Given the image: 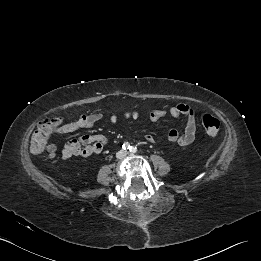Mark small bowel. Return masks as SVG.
I'll use <instances>...</instances> for the list:
<instances>
[{"instance_id":"obj_1","label":"small bowel","mask_w":261,"mask_h":261,"mask_svg":"<svg viewBox=\"0 0 261 261\" xmlns=\"http://www.w3.org/2000/svg\"><path fill=\"white\" fill-rule=\"evenodd\" d=\"M169 113L173 118L179 119L184 117L185 128L182 133L177 130H171L168 134V141L170 144L187 146L190 145L196 134V123L195 116L192 107L186 104H179L177 106L171 107L169 111L154 109L150 112L149 117L152 121L156 122ZM102 115L100 113H92L81 115L75 121L56 125L52 129V133L66 134L73 132L80 128H91L98 121H100ZM114 121V119H112ZM146 140L153 143L155 138L152 134L146 135ZM108 144V139L103 135H82L76 140L69 141L64 149L62 150V158L69 159L72 157H88L95 154H99L103 151L105 146ZM48 153L51 158L56 155V147L54 145H49Z\"/></svg>"}]
</instances>
